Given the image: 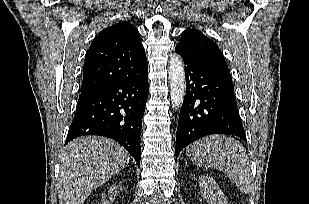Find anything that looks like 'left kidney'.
<instances>
[{
	"instance_id": "5707ae66",
	"label": "left kidney",
	"mask_w": 309,
	"mask_h": 204,
	"mask_svg": "<svg viewBox=\"0 0 309 204\" xmlns=\"http://www.w3.org/2000/svg\"><path fill=\"white\" fill-rule=\"evenodd\" d=\"M199 186L207 204H228L226 196L212 177L201 175L199 177Z\"/></svg>"
}]
</instances>
